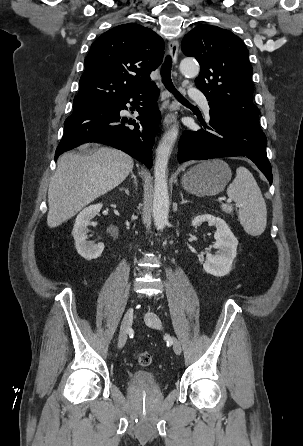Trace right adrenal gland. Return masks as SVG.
I'll use <instances>...</instances> for the list:
<instances>
[{"mask_svg": "<svg viewBox=\"0 0 303 446\" xmlns=\"http://www.w3.org/2000/svg\"><path fill=\"white\" fill-rule=\"evenodd\" d=\"M130 174H131V179L133 180V184H134V186L136 188V186H137L136 177H135V175H134V173L132 171H131ZM121 190L124 191L127 195H130V191H129L128 188H122Z\"/></svg>", "mask_w": 303, "mask_h": 446, "instance_id": "1", "label": "right adrenal gland"}]
</instances>
